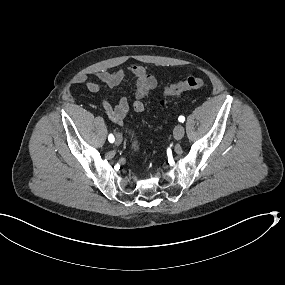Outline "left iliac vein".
<instances>
[{
    "label": "left iliac vein",
    "mask_w": 285,
    "mask_h": 285,
    "mask_svg": "<svg viewBox=\"0 0 285 285\" xmlns=\"http://www.w3.org/2000/svg\"><path fill=\"white\" fill-rule=\"evenodd\" d=\"M174 138L180 140L185 134V129L182 125H177L173 131Z\"/></svg>",
    "instance_id": "obj_1"
}]
</instances>
